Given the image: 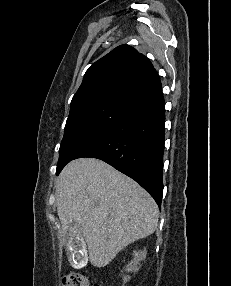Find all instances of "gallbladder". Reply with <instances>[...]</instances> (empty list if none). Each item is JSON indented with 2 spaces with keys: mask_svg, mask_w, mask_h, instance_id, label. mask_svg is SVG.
<instances>
[{
  "mask_svg": "<svg viewBox=\"0 0 231 286\" xmlns=\"http://www.w3.org/2000/svg\"><path fill=\"white\" fill-rule=\"evenodd\" d=\"M80 230H82L81 222H74L69 224V233L66 243V251H67V258L69 259V263L75 269H81L85 267L88 263V250L86 248V241L83 240V236L80 234Z\"/></svg>",
  "mask_w": 231,
  "mask_h": 286,
  "instance_id": "bac80fb5",
  "label": "gallbladder"
}]
</instances>
